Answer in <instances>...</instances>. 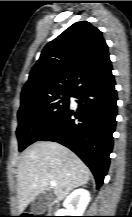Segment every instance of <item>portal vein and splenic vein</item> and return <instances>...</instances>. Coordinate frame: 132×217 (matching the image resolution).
I'll return each mask as SVG.
<instances>
[{"label": "portal vein and splenic vein", "instance_id": "18ae733b", "mask_svg": "<svg viewBox=\"0 0 132 217\" xmlns=\"http://www.w3.org/2000/svg\"><path fill=\"white\" fill-rule=\"evenodd\" d=\"M50 185H51L52 187H54V186H56V182H55V181H51V182H50Z\"/></svg>", "mask_w": 132, "mask_h": 217}]
</instances>
